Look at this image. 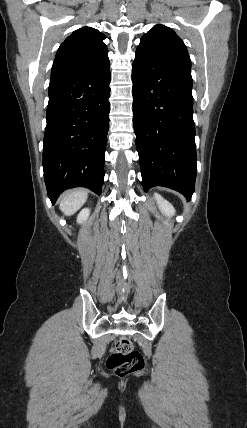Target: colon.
I'll return each mask as SVG.
<instances>
[{
	"label": "colon",
	"instance_id": "5ec220e1",
	"mask_svg": "<svg viewBox=\"0 0 247 428\" xmlns=\"http://www.w3.org/2000/svg\"><path fill=\"white\" fill-rule=\"evenodd\" d=\"M107 368L118 376H125L142 369L144 360L132 343L123 338L119 340L106 361Z\"/></svg>",
	"mask_w": 247,
	"mask_h": 428
}]
</instances>
